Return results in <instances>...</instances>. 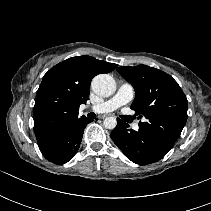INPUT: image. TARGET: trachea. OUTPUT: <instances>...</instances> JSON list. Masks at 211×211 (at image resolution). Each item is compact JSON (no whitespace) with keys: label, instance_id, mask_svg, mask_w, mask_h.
Instances as JSON below:
<instances>
[{"label":"trachea","instance_id":"trachea-1","mask_svg":"<svg viewBox=\"0 0 211 211\" xmlns=\"http://www.w3.org/2000/svg\"><path fill=\"white\" fill-rule=\"evenodd\" d=\"M88 118L95 119L96 118V115L94 113H89L88 114Z\"/></svg>","mask_w":211,"mask_h":211}]
</instances>
